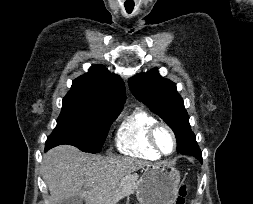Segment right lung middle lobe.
Returning <instances> with one entry per match:
<instances>
[{
	"label": "right lung middle lobe",
	"mask_w": 253,
	"mask_h": 204,
	"mask_svg": "<svg viewBox=\"0 0 253 204\" xmlns=\"http://www.w3.org/2000/svg\"><path fill=\"white\" fill-rule=\"evenodd\" d=\"M117 116L105 108L66 95L57 126L47 138L46 146L70 144L84 152L98 153Z\"/></svg>",
	"instance_id": "1"
}]
</instances>
